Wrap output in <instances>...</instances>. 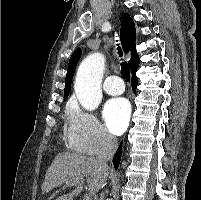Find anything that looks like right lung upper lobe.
<instances>
[{
	"mask_svg": "<svg viewBox=\"0 0 201 200\" xmlns=\"http://www.w3.org/2000/svg\"><path fill=\"white\" fill-rule=\"evenodd\" d=\"M135 25L132 18L127 14H122V24L120 30V40L122 47L126 53L131 52L132 58L129 60L128 64L130 66L131 72H136L140 59L135 49ZM81 57V49L78 48L74 51L70 57L68 64L66 79H65V89H64V99L68 97L71 89L72 78L76 65Z\"/></svg>",
	"mask_w": 201,
	"mask_h": 200,
	"instance_id": "cb5924a9",
	"label": "right lung upper lobe"
}]
</instances>
